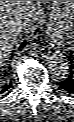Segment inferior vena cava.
<instances>
[{"label":"inferior vena cava","instance_id":"602c4592","mask_svg":"<svg viewBox=\"0 0 74 122\" xmlns=\"http://www.w3.org/2000/svg\"><path fill=\"white\" fill-rule=\"evenodd\" d=\"M23 29H25L24 24H19V30H20V31H23Z\"/></svg>","mask_w":74,"mask_h":122}]
</instances>
